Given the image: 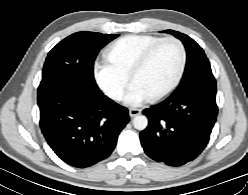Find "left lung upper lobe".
<instances>
[{
	"label": "left lung upper lobe",
	"mask_w": 248,
	"mask_h": 195,
	"mask_svg": "<svg viewBox=\"0 0 248 195\" xmlns=\"http://www.w3.org/2000/svg\"><path fill=\"white\" fill-rule=\"evenodd\" d=\"M163 32L180 39L186 49V67L178 88L187 91L194 88L216 87V80L204 50L186 34L174 30Z\"/></svg>",
	"instance_id": "5c2ea615"
}]
</instances>
